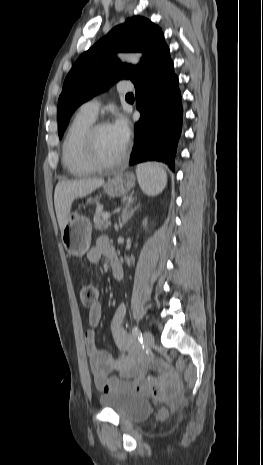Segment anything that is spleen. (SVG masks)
<instances>
[{
	"instance_id": "obj_1",
	"label": "spleen",
	"mask_w": 263,
	"mask_h": 465,
	"mask_svg": "<svg viewBox=\"0 0 263 465\" xmlns=\"http://www.w3.org/2000/svg\"><path fill=\"white\" fill-rule=\"evenodd\" d=\"M136 175L140 188L148 196L159 194L166 186V173L159 164L139 165Z\"/></svg>"
}]
</instances>
